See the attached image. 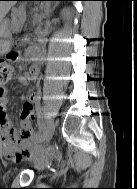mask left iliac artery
<instances>
[{"label": "left iliac artery", "instance_id": "1", "mask_svg": "<svg viewBox=\"0 0 137 189\" xmlns=\"http://www.w3.org/2000/svg\"><path fill=\"white\" fill-rule=\"evenodd\" d=\"M42 115H43V109L38 113V123H39V128H38V133H36V136H38V139H40L43 127H45L43 121H42Z\"/></svg>", "mask_w": 137, "mask_h": 189}]
</instances>
